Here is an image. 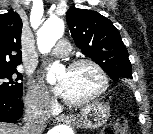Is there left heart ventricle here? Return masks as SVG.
Segmentation results:
<instances>
[{"mask_svg": "<svg viewBox=\"0 0 153 134\" xmlns=\"http://www.w3.org/2000/svg\"><path fill=\"white\" fill-rule=\"evenodd\" d=\"M59 82L64 85L63 97L74 101L93 94L101 85L98 73L89 65H82L73 70L62 72L59 76Z\"/></svg>", "mask_w": 153, "mask_h": 134, "instance_id": "left-heart-ventricle-1", "label": "left heart ventricle"}]
</instances>
